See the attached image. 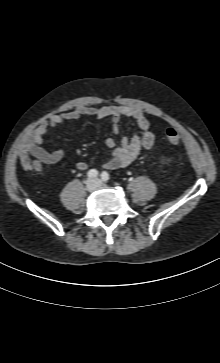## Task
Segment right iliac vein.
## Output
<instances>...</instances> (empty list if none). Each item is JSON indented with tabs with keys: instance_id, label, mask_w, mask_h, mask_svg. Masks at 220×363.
I'll use <instances>...</instances> for the list:
<instances>
[{
	"instance_id": "obj_1",
	"label": "right iliac vein",
	"mask_w": 220,
	"mask_h": 363,
	"mask_svg": "<svg viewBox=\"0 0 220 363\" xmlns=\"http://www.w3.org/2000/svg\"><path fill=\"white\" fill-rule=\"evenodd\" d=\"M97 187V182L94 179H88L86 181V189L89 192H92Z\"/></svg>"
}]
</instances>
